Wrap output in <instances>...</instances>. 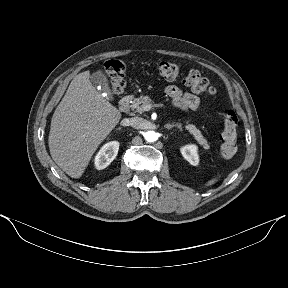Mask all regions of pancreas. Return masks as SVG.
<instances>
[{
    "mask_svg": "<svg viewBox=\"0 0 288 288\" xmlns=\"http://www.w3.org/2000/svg\"><path fill=\"white\" fill-rule=\"evenodd\" d=\"M151 104V99L149 96H140L138 98H135L132 101L131 104V108L132 110H135L138 113H143L145 111H147L145 109V106ZM186 129L189 131V133L191 135H193V137L195 138V140L204 147V149H209V145L207 143V140L204 138V136L202 135L201 131L199 129L196 128L195 125L190 124L188 121L186 122Z\"/></svg>",
    "mask_w": 288,
    "mask_h": 288,
    "instance_id": "1",
    "label": "pancreas"
}]
</instances>
